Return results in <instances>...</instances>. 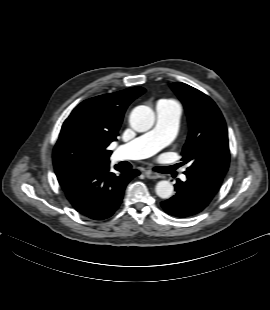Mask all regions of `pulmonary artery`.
Listing matches in <instances>:
<instances>
[{"label": "pulmonary artery", "mask_w": 270, "mask_h": 310, "mask_svg": "<svg viewBox=\"0 0 270 310\" xmlns=\"http://www.w3.org/2000/svg\"><path fill=\"white\" fill-rule=\"evenodd\" d=\"M155 112L156 124L152 130L118 148V152L123 154L124 158L150 157L173 140L178 126L180 107L174 103L159 101Z\"/></svg>", "instance_id": "pulmonary-artery-1"}]
</instances>
